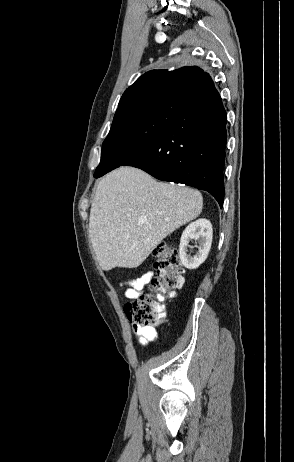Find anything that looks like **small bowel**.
Here are the masks:
<instances>
[{"label": "small bowel", "instance_id": "small-bowel-1", "mask_svg": "<svg viewBox=\"0 0 294 462\" xmlns=\"http://www.w3.org/2000/svg\"><path fill=\"white\" fill-rule=\"evenodd\" d=\"M153 273L147 272L142 276L129 280L126 283H121L120 286H125L124 296L128 300H133L142 294L152 279ZM133 333L141 345H147L157 339L158 332L156 326H143L138 324L132 325Z\"/></svg>", "mask_w": 294, "mask_h": 462}]
</instances>
